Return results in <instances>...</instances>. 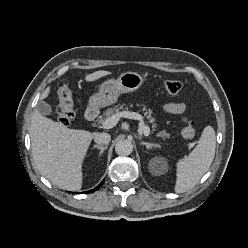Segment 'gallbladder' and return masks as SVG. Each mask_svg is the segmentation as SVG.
<instances>
[{
  "label": "gallbladder",
  "instance_id": "gallbladder-1",
  "mask_svg": "<svg viewBox=\"0 0 248 248\" xmlns=\"http://www.w3.org/2000/svg\"><path fill=\"white\" fill-rule=\"evenodd\" d=\"M36 109L38 110L39 113L42 115H50L52 113V108L51 106L46 103V102H38Z\"/></svg>",
  "mask_w": 248,
  "mask_h": 248
}]
</instances>
